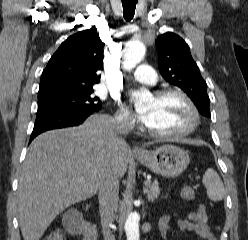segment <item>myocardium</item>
Wrapping results in <instances>:
<instances>
[{"label": "myocardium", "instance_id": "1", "mask_svg": "<svg viewBox=\"0 0 248 240\" xmlns=\"http://www.w3.org/2000/svg\"><path fill=\"white\" fill-rule=\"evenodd\" d=\"M167 95H177L179 97H181L187 104L191 115H192V121L191 123L184 129L176 131V132H158V131H154L150 128L147 127V132L155 137H159V138H180L186 135L191 134L192 132H194L199 124H200V113L198 111L197 106L195 105V103L193 102V100L191 99V97L183 90L178 89V88H173V87H167V88H162L159 89L155 92L154 96L156 98H161Z\"/></svg>", "mask_w": 248, "mask_h": 240}]
</instances>
